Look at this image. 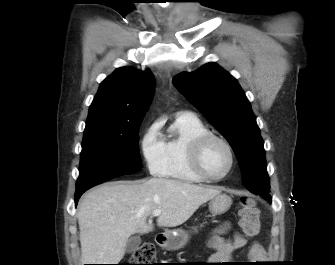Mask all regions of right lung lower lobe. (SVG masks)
Returning <instances> with one entry per match:
<instances>
[{
  "label": "right lung lower lobe",
  "mask_w": 335,
  "mask_h": 265,
  "mask_svg": "<svg viewBox=\"0 0 335 265\" xmlns=\"http://www.w3.org/2000/svg\"><path fill=\"white\" fill-rule=\"evenodd\" d=\"M89 188H86V189H83V190H80V191H77L76 194H75V204L77 205L78 203V200L79 198L81 197V195L86 191L88 190Z\"/></svg>",
  "instance_id": "98d812e1"
}]
</instances>
